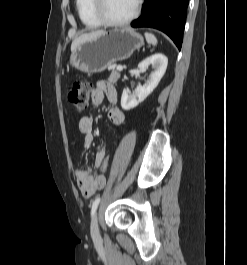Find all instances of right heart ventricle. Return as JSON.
<instances>
[{"instance_id":"obj_1","label":"right heart ventricle","mask_w":247,"mask_h":265,"mask_svg":"<svg viewBox=\"0 0 247 265\" xmlns=\"http://www.w3.org/2000/svg\"><path fill=\"white\" fill-rule=\"evenodd\" d=\"M92 2L93 0H76V9L79 15L81 22L87 28H98L101 27L102 24L96 18L93 9H92Z\"/></svg>"}]
</instances>
